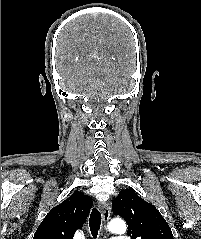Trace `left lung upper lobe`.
<instances>
[{"label":"left lung upper lobe","instance_id":"left-lung-upper-lobe-1","mask_svg":"<svg viewBox=\"0 0 201 239\" xmlns=\"http://www.w3.org/2000/svg\"><path fill=\"white\" fill-rule=\"evenodd\" d=\"M112 210L127 222L131 239H174L156 207L139 197L133 188L119 192L112 201Z\"/></svg>","mask_w":201,"mask_h":239}]
</instances>
